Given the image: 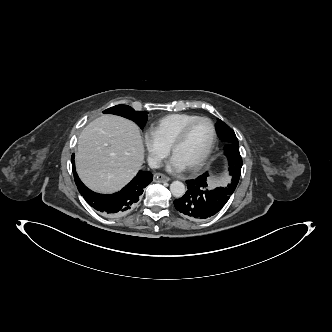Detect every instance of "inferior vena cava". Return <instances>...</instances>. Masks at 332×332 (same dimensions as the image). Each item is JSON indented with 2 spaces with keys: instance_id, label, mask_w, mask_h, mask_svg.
I'll return each mask as SVG.
<instances>
[{
  "instance_id": "obj_1",
  "label": "inferior vena cava",
  "mask_w": 332,
  "mask_h": 332,
  "mask_svg": "<svg viewBox=\"0 0 332 332\" xmlns=\"http://www.w3.org/2000/svg\"><path fill=\"white\" fill-rule=\"evenodd\" d=\"M148 165L151 169H157L161 167V161L156 157H149Z\"/></svg>"
}]
</instances>
